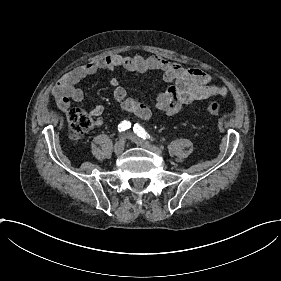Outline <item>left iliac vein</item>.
Listing matches in <instances>:
<instances>
[{
	"label": "left iliac vein",
	"mask_w": 281,
	"mask_h": 281,
	"mask_svg": "<svg viewBox=\"0 0 281 281\" xmlns=\"http://www.w3.org/2000/svg\"><path fill=\"white\" fill-rule=\"evenodd\" d=\"M124 138L127 141L132 140V142L137 143L142 147L144 146L145 148L150 149V151H152V152H158V154H160V152H161L160 149H158V147H156V145H151L148 143L149 141L147 142L144 139L142 140L139 137H135V136L133 137L132 133H130V132L125 133Z\"/></svg>",
	"instance_id": "1"
}]
</instances>
